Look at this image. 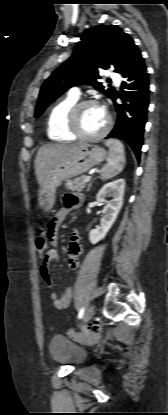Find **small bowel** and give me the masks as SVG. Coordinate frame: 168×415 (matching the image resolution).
Segmentation results:
<instances>
[{"instance_id":"1","label":"small bowel","mask_w":168,"mask_h":415,"mask_svg":"<svg viewBox=\"0 0 168 415\" xmlns=\"http://www.w3.org/2000/svg\"><path fill=\"white\" fill-rule=\"evenodd\" d=\"M82 196L79 194L69 193L65 194L62 199V208L55 214V216L50 220V222L45 227L48 241L51 243L52 247L45 253L46 262L44 263L45 268H40V276L45 282L48 288H51L53 285V280L50 274L49 266L52 262L58 261L59 252L56 248L57 238L59 229L65 220L68 213L76 208H78L82 203ZM81 241L77 232H73L68 248V267L72 270H75L79 267V256L81 254ZM73 296L72 288H67L61 296H58L56 293L52 292L50 297L53 301L55 308L62 310L69 307Z\"/></svg>"}]
</instances>
